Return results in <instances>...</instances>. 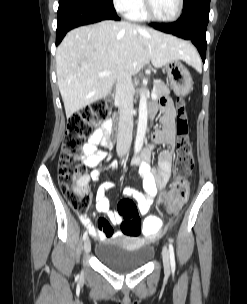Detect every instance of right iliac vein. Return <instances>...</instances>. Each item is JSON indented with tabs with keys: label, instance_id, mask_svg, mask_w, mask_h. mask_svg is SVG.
<instances>
[{
	"label": "right iliac vein",
	"instance_id": "1",
	"mask_svg": "<svg viewBox=\"0 0 247 304\" xmlns=\"http://www.w3.org/2000/svg\"><path fill=\"white\" fill-rule=\"evenodd\" d=\"M84 250L86 254H89L91 251V243L89 238H86V240L84 241Z\"/></svg>",
	"mask_w": 247,
	"mask_h": 304
}]
</instances>
